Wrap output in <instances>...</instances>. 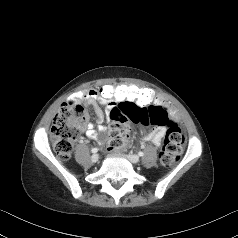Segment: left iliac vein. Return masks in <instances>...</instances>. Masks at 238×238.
I'll return each instance as SVG.
<instances>
[{
	"label": "left iliac vein",
	"mask_w": 238,
	"mask_h": 238,
	"mask_svg": "<svg viewBox=\"0 0 238 238\" xmlns=\"http://www.w3.org/2000/svg\"><path fill=\"white\" fill-rule=\"evenodd\" d=\"M128 159L133 163L137 164L139 162V157L137 155L129 154Z\"/></svg>",
	"instance_id": "obj_1"
}]
</instances>
